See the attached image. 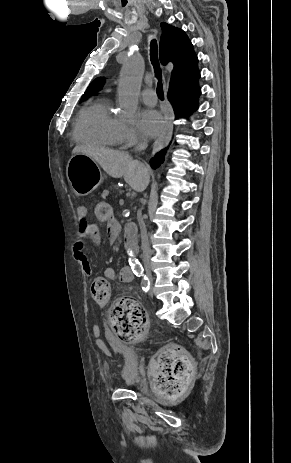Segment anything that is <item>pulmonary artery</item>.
Listing matches in <instances>:
<instances>
[{"label": "pulmonary artery", "instance_id": "pulmonary-artery-1", "mask_svg": "<svg viewBox=\"0 0 291 463\" xmlns=\"http://www.w3.org/2000/svg\"><path fill=\"white\" fill-rule=\"evenodd\" d=\"M142 101L149 106H154L157 103V94L152 88H145L141 92Z\"/></svg>", "mask_w": 291, "mask_h": 463}]
</instances>
